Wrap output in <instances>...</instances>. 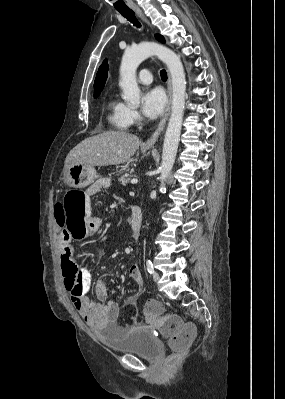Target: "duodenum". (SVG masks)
I'll return each instance as SVG.
<instances>
[{
    "instance_id": "1",
    "label": "duodenum",
    "mask_w": 285,
    "mask_h": 399,
    "mask_svg": "<svg viewBox=\"0 0 285 399\" xmlns=\"http://www.w3.org/2000/svg\"><path fill=\"white\" fill-rule=\"evenodd\" d=\"M143 216L140 207L134 206L132 208V217H131V229L133 231L134 238L137 240L140 235V231L142 228Z\"/></svg>"
}]
</instances>
